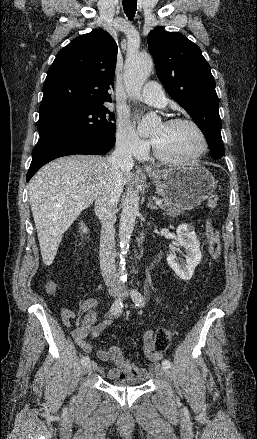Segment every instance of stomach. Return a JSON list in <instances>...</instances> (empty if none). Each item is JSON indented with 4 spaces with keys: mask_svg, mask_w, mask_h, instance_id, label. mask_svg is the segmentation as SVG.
Instances as JSON below:
<instances>
[{
    "mask_svg": "<svg viewBox=\"0 0 257 439\" xmlns=\"http://www.w3.org/2000/svg\"><path fill=\"white\" fill-rule=\"evenodd\" d=\"M157 192L183 210H192L215 189L213 175L203 166L170 168L148 172Z\"/></svg>",
    "mask_w": 257,
    "mask_h": 439,
    "instance_id": "1",
    "label": "stomach"
}]
</instances>
